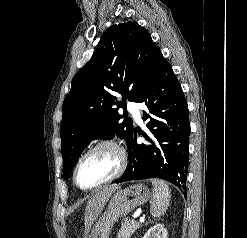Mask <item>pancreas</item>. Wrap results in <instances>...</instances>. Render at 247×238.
Masks as SVG:
<instances>
[{
    "label": "pancreas",
    "instance_id": "pancreas-1",
    "mask_svg": "<svg viewBox=\"0 0 247 238\" xmlns=\"http://www.w3.org/2000/svg\"><path fill=\"white\" fill-rule=\"evenodd\" d=\"M139 227L140 224L134 220H129L127 223L122 222L117 238H130Z\"/></svg>",
    "mask_w": 247,
    "mask_h": 238
}]
</instances>
